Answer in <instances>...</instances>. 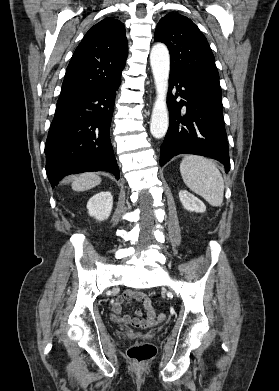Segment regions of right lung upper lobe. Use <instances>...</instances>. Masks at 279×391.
<instances>
[{"label": "right lung upper lobe", "mask_w": 279, "mask_h": 391, "mask_svg": "<svg viewBox=\"0 0 279 391\" xmlns=\"http://www.w3.org/2000/svg\"><path fill=\"white\" fill-rule=\"evenodd\" d=\"M127 56L124 24L114 18L100 21L76 48L59 99L87 93L121 79Z\"/></svg>", "instance_id": "obj_1"}]
</instances>
